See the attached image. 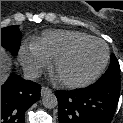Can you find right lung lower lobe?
Wrapping results in <instances>:
<instances>
[{"instance_id": "1", "label": "right lung lower lobe", "mask_w": 123, "mask_h": 123, "mask_svg": "<svg viewBox=\"0 0 123 123\" xmlns=\"http://www.w3.org/2000/svg\"><path fill=\"white\" fill-rule=\"evenodd\" d=\"M41 86L11 74L1 86V123H25L26 110L40 98Z\"/></svg>"}]
</instances>
